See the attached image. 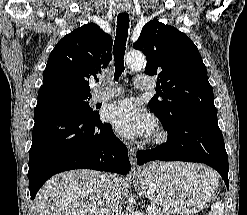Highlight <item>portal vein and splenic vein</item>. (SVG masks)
Masks as SVG:
<instances>
[{"label":"portal vein and splenic vein","instance_id":"obj_1","mask_svg":"<svg viewBox=\"0 0 247 215\" xmlns=\"http://www.w3.org/2000/svg\"><path fill=\"white\" fill-rule=\"evenodd\" d=\"M148 215H155L156 211L153 208L148 207L147 208Z\"/></svg>","mask_w":247,"mask_h":215}]
</instances>
